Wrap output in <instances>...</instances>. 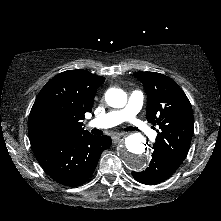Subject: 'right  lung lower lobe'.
Returning a JSON list of instances; mask_svg holds the SVG:
<instances>
[{"mask_svg": "<svg viewBox=\"0 0 221 221\" xmlns=\"http://www.w3.org/2000/svg\"><path fill=\"white\" fill-rule=\"evenodd\" d=\"M111 144L109 136L88 134L41 141L31 146L52 179L66 186H79L90 178L101 153Z\"/></svg>", "mask_w": 221, "mask_h": 221, "instance_id": "obj_1", "label": "right lung lower lobe"}]
</instances>
